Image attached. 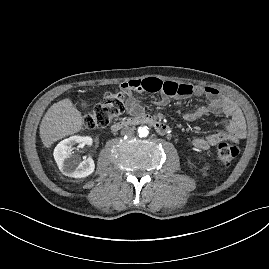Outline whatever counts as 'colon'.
<instances>
[{
    "label": "colon",
    "instance_id": "1",
    "mask_svg": "<svg viewBox=\"0 0 269 269\" xmlns=\"http://www.w3.org/2000/svg\"><path fill=\"white\" fill-rule=\"evenodd\" d=\"M127 96L128 91L123 88L114 92H107L92 111L84 116V126L87 129L106 127L124 111ZM238 154L239 147L229 141H222L217 147V158L225 165L230 164Z\"/></svg>",
    "mask_w": 269,
    "mask_h": 269
}]
</instances>
